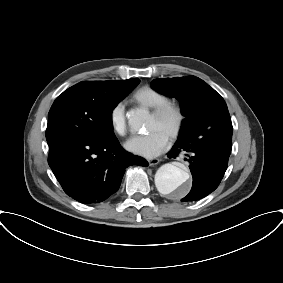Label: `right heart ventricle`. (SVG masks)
Instances as JSON below:
<instances>
[{
	"instance_id": "e07e8e85",
	"label": "right heart ventricle",
	"mask_w": 283,
	"mask_h": 283,
	"mask_svg": "<svg viewBox=\"0 0 283 283\" xmlns=\"http://www.w3.org/2000/svg\"><path fill=\"white\" fill-rule=\"evenodd\" d=\"M133 99L138 105L150 109L169 100L165 93L150 86H144L136 90Z\"/></svg>"
}]
</instances>
